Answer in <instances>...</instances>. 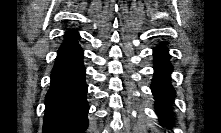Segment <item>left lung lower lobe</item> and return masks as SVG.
<instances>
[{
    "label": "left lung lower lobe",
    "mask_w": 221,
    "mask_h": 133,
    "mask_svg": "<svg viewBox=\"0 0 221 133\" xmlns=\"http://www.w3.org/2000/svg\"><path fill=\"white\" fill-rule=\"evenodd\" d=\"M155 73L151 90L156 100V111L162 124L171 121L170 104L175 97V91L171 85L170 73L172 67L169 63L167 48L160 45L154 49Z\"/></svg>",
    "instance_id": "1"
}]
</instances>
